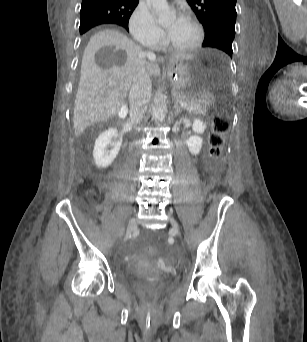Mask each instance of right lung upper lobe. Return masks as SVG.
<instances>
[{
	"label": "right lung upper lobe",
	"mask_w": 307,
	"mask_h": 342,
	"mask_svg": "<svg viewBox=\"0 0 307 342\" xmlns=\"http://www.w3.org/2000/svg\"><path fill=\"white\" fill-rule=\"evenodd\" d=\"M139 0H82L81 11H107L117 16L115 22L128 30L129 18Z\"/></svg>",
	"instance_id": "cb5924a9"
}]
</instances>
